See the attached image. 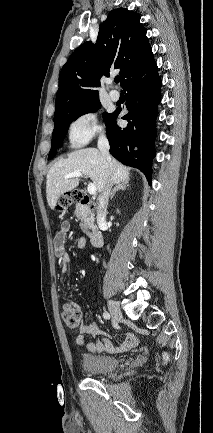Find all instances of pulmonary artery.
<instances>
[{"instance_id":"obj_1","label":"pulmonary artery","mask_w":213,"mask_h":433,"mask_svg":"<svg viewBox=\"0 0 213 433\" xmlns=\"http://www.w3.org/2000/svg\"><path fill=\"white\" fill-rule=\"evenodd\" d=\"M109 97L112 101H117L120 97V94L117 90H111L109 92Z\"/></svg>"}]
</instances>
